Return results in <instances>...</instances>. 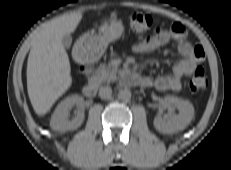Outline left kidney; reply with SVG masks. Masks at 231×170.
<instances>
[{
	"label": "left kidney",
	"mask_w": 231,
	"mask_h": 170,
	"mask_svg": "<svg viewBox=\"0 0 231 170\" xmlns=\"http://www.w3.org/2000/svg\"><path fill=\"white\" fill-rule=\"evenodd\" d=\"M164 101L167 105L177 108L179 114L167 121L158 115L154 119V127L156 130L166 134H172L184 130L194 117L193 105L187 100L174 96H166Z\"/></svg>",
	"instance_id": "obj_1"
}]
</instances>
